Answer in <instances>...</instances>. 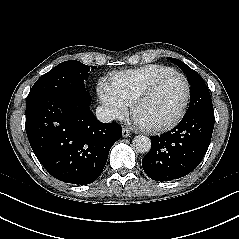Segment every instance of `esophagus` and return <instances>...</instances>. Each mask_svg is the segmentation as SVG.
I'll list each match as a JSON object with an SVG mask.
<instances>
[{"instance_id":"esophagus-1","label":"esophagus","mask_w":239,"mask_h":239,"mask_svg":"<svg viewBox=\"0 0 239 239\" xmlns=\"http://www.w3.org/2000/svg\"><path fill=\"white\" fill-rule=\"evenodd\" d=\"M130 134H131V133H130V131H129L128 129L123 128V130H122V136H123L124 138L129 137Z\"/></svg>"}]
</instances>
